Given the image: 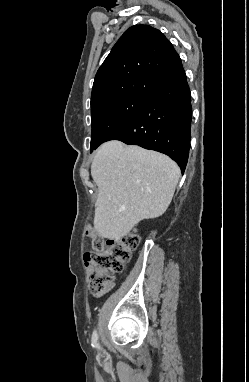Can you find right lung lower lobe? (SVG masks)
Wrapping results in <instances>:
<instances>
[{
	"mask_svg": "<svg viewBox=\"0 0 249 382\" xmlns=\"http://www.w3.org/2000/svg\"><path fill=\"white\" fill-rule=\"evenodd\" d=\"M192 106L185 72L149 98L141 111L109 140H120L170 156L186 168L191 141Z\"/></svg>",
	"mask_w": 249,
	"mask_h": 382,
	"instance_id": "right-lung-lower-lobe-1",
	"label": "right lung lower lobe"
}]
</instances>
